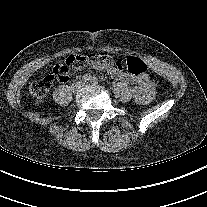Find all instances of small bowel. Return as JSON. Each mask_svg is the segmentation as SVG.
I'll list each match as a JSON object with an SVG mask.
<instances>
[{"label": "small bowel", "mask_w": 207, "mask_h": 207, "mask_svg": "<svg viewBox=\"0 0 207 207\" xmlns=\"http://www.w3.org/2000/svg\"><path fill=\"white\" fill-rule=\"evenodd\" d=\"M88 68L105 70L114 79L122 83H135L136 86L132 89V95L135 100L140 104L149 103L155 95V84L148 75H142L138 77L131 76L123 71L122 64L118 61L113 62L110 66L107 67H96L90 65L88 66ZM57 78L61 83H67L70 80L68 74L59 75Z\"/></svg>", "instance_id": "obj_1"}]
</instances>
